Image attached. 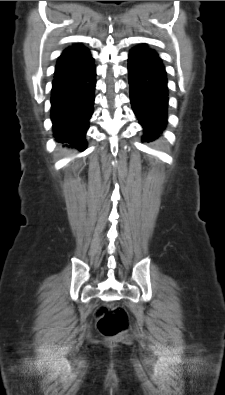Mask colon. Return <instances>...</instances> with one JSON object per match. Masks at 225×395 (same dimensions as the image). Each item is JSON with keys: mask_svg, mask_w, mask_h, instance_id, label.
<instances>
[{"mask_svg": "<svg viewBox=\"0 0 225 395\" xmlns=\"http://www.w3.org/2000/svg\"><path fill=\"white\" fill-rule=\"evenodd\" d=\"M99 332L107 339H116L130 328L127 310L118 304H107L96 309Z\"/></svg>", "mask_w": 225, "mask_h": 395, "instance_id": "5ec220e1", "label": "colon"}]
</instances>
